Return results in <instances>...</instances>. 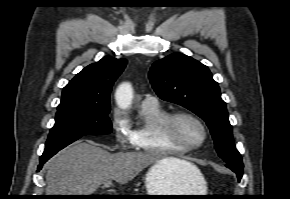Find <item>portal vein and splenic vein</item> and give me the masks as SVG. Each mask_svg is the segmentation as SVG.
I'll list each match as a JSON object with an SVG mask.
<instances>
[{
    "label": "portal vein and splenic vein",
    "mask_w": 290,
    "mask_h": 199,
    "mask_svg": "<svg viewBox=\"0 0 290 199\" xmlns=\"http://www.w3.org/2000/svg\"><path fill=\"white\" fill-rule=\"evenodd\" d=\"M111 185V180L104 182V187H109Z\"/></svg>",
    "instance_id": "obj_1"
}]
</instances>
